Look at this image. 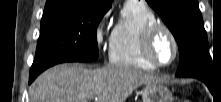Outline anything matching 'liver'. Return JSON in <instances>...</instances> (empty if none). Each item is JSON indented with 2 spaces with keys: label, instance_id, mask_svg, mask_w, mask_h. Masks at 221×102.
<instances>
[{
  "label": "liver",
  "instance_id": "obj_1",
  "mask_svg": "<svg viewBox=\"0 0 221 102\" xmlns=\"http://www.w3.org/2000/svg\"><path fill=\"white\" fill-rule=\"evenodd\" d=\"M160 80L128 66L86 69L73 64L52 67L29 88L30 102H125L137 87Z\"/></svg>",
  "mask_w": 221,
  "mask_h": 102
}]
</instances>
